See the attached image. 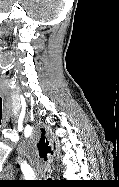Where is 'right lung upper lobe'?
Instances as JSON below:
<instances>
[{
  "label": "right lung upper lobe",
  "mask_w": 119,
  "mask_h": 187,
  "mask_svg": "<svg viewBox=\"0 0 119 187\" xmlns=\"http://www.w3.org/2000/svg\"><path fill=\"white\" fill-rule=\"evenodd\" d=\"M37 146H38V149H39V152H40L39 153L40 156L43 157L44 160L46 161L47 160V154L48 153L52 154L53 152L51 151V147L49 146V142H48V140L45 136V132H44L43 129H42V135H41L40 141L37 144Z\"/></svg>",
  "instance_id": "cb5924a9"
}]
</instances>
